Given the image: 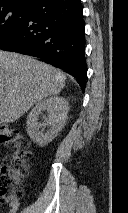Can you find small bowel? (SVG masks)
Wrapping results in <instances>:
<instances>
[{
  "instance_id": "c3829d8e",
  "label": "small bowel",
  "mask_w": 128,
  "mask_h": 213,
  "mask_svg": "<svg viewBox=\"0 0 128 213\" xmlns=\"http://www.w3.org/2000/svg\"><path fill=\"white\" fill-rule=\"evenodd\" d=\"M20 203L18 200H12L8 204V210L6 213H17L19 210Z\"/></svg>"
}]
</instances>
